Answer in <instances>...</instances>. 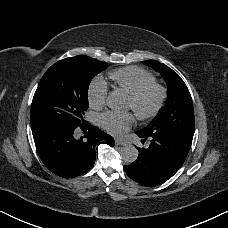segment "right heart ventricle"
<instances>
[{"label": "right heart ventricle", "mask_w": 228, "mask_h": 228, "mask_svg": "<svg viewBox=\"0 0 228 228\" xmlns=\"http://www.w3.org/2000/svg\"><path fill=\"white\" fill-rule=\"evenodd\" d=\"M107 75L114 82L116 92H124L127 96H131L155 82L149 72L139 67L109 71Z\"/></svg>", "instance_id": "obj_1"}]
</instances>
